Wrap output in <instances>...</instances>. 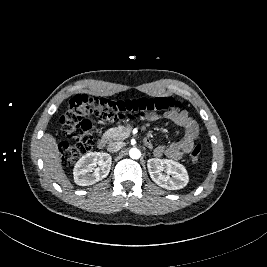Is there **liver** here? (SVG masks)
<instances>
[{"instance_id":"obj_1","label":"liver","mask_w":267,"mask_h":267,"mask_svg":"<svg viewBox=\"0 0 267 267\" xmlns=\"http://www.w3.org/2000/svg\"><path fill=\"white\" fill-rule=\"evenodd\" d=\"M41 154L44 168L50 177L62 187L73 188V185L63 171L56 139L49 133H46L42 138Z\"/></svg>"}]
</instances>
